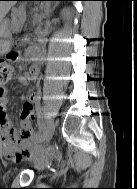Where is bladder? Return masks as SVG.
<instances>
[{
    "label": "bladder",
    "mask_w": 137,
    "mask_h": 189,
    "mask_svg": "<svg viewBox=\"0 0 137 189\" xmlns=\"http://www.w3.org/2000/svg\"><path fill=\"white\" fill-rule=\"evenodd\" d=\"M39 168L43 169V168H45V165L42 164L39 166Z\"/></svg>",
    "instance_id": "bladder-1"
}]
</instances>
